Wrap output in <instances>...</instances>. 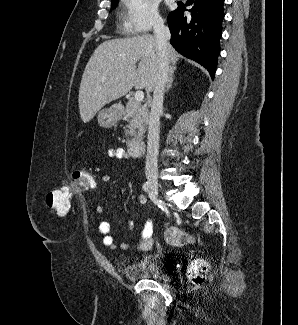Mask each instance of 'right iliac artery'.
I'll return each mask as SVG.
<instances>
[{
  "instance_id": "82829eb1",
  "label": "right iliac artery",
  "mask_w": 298,
  "mask_h": 325,
  "mask_svg": "<svg viewBox=\"0 0 298 325\" xmlns=\"http://www.w3.org/2000/svg\"><path fill=\"white\" fill-rule=\"evenodd\" d=\"M143 190H144L145 192H150V186H149V183H148V182H145V183L143 184Z\"/></svg>"
}]
</instances>
